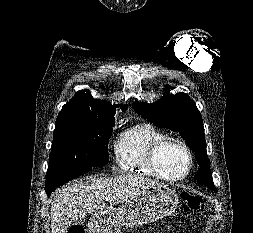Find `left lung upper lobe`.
Returning <instances> with one entry per match:
<instances>
[{
    "label": "left lung upper lobe",
    "instance_id": "5c2ea615",
    "mask_svg": "<svg viewBox=\"0 0 253 233\" xmlns=\"http://www.w3.org/2000/svg\"><path fill=\"white\" fill-rule=\"evenodd\" d=\"M133 108L138 115L154 125L179 132L187 145L195 151L200 166L194 179L209 188H216L210 171L201 114L187 94H166L152 104L136 101Z\"/></svg>",
    "mask_w": 253,
    "mask_h": 233
}]
</instances>
